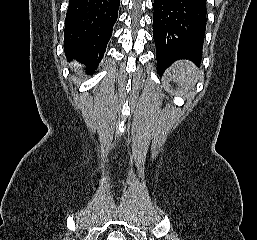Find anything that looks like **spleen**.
<instances>
[{
  "instance_id": "1",
  "label": "spleen",
  "mask_w": 257,
  "mask_h": 240,
  "mask_svg": "<svg viewBox=\"0 0 257 240\" xmlns=\"http://www.w3.org/2000/svg\"><path fill=\"white\" fill-rule=\"evenodd\" d=\"M170 76L176 81L183 89L193 90L197 81V70L188 61L177 62L169 69Z\"/></svg>"
}]
</instances>
